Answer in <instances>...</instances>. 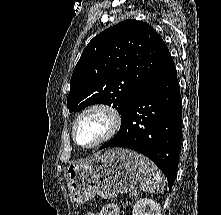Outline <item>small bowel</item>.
<instances>
[{
	"label": "small bowel",
	"mask_w": 221,
	"mask_h": 215,
	"mask_svg": "<svg viewBox=\"0 0 221 215\" xmlns=\"http://www.w3.org/2000/svg\"><path fill=\"white\" fill-rule=\"evenodd\" d=\"M85 215H121V212L116 205L108 204L102 207L98 212L90 211Z\"/></svg>",
	"instance_id": "small-bowel-1"
}]
</instances>
